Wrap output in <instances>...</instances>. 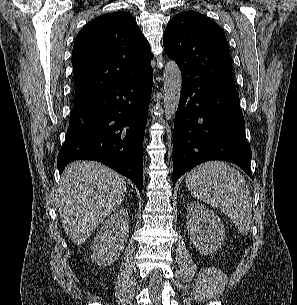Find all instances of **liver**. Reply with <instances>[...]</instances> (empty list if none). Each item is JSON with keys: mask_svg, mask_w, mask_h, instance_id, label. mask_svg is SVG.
Listing matches in <instances>:
<instances>
[{"mask_svg": "<svg viewBox=\"0 0 297 305\" xmlns=\"http://www.w3.org/2000/svg\"><path fill=\"white\" fill-rule=\"evenodd\" d=\"M124 178L94 161H75L64 170L56 191L62 226L75 244L84 243L121 204Z\"/></svg>", "mask_w": 297, "mask_h": 305, "instance_id": "1", "label": "liver"}]
</instances>
